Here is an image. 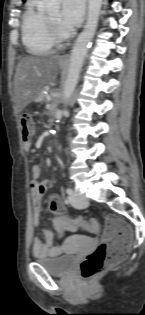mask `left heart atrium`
I'll return each mask as SVG.
<instances>
[{
  "label": "left heart atrium",
  "mask_w": 145,
  "mask_h": 315,
  "mask_svg": "<svg viewBox=\"0 0 145 315\" xmlns=\"http://www.w3.org/2000/svg\"><path fill=\"white\" fill-rule=\"evenodd\" d=\"M84 0H63L60 13V23L65 31L77 27L84 15Z\"/></svg>",
  "instance_id": "left-heart-atrium-1"
}]
</instances>
